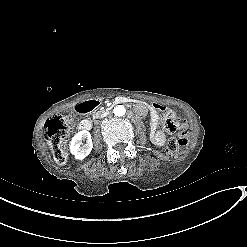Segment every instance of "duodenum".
<instances>
[{"mask_svg":"<svg viewBox=\"0 0 247 247\" xmlns=\"http://www.w3.org/2000/svg\"><path fill=\"white\" fill-rule=\"evenodd\" d=\"M131 102H134V100L131 98L118 97L115 99L114 105H118L121 103H131ZM98 105H99L98 100L90 99V100H86V101H82L78 103L74 109L77 113H88L90 111H93L95 108H97ZM91 128H92V122L89 119H85L81 121V123L79 124V129L81 130H90Z\"/></svg>","mask_w":247,"mask_h":247,"instance_id":"obj_1","label":"duodenum"}]
</instances>
